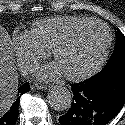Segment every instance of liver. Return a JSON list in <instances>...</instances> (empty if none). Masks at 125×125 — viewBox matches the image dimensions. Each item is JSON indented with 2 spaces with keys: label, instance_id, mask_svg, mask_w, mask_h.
Listing matches in <instances>:
<instances>
[{
  "label": "liver",
  "instance_id": "1",
  "mask_svg": "<svg viewBox=\"0 0 125 125\" xmlns=\"http://www.w3.org/2000/svg\"><path fill=\"white\" fill-rule=\"evenodd\" d=\"M11 38L0 25V116L10 107L17 94L18 74L10 48Z\"/></svg>",
  "mask_w": 125,
  "mask_h": 125
}]
</instances>
